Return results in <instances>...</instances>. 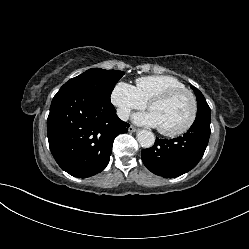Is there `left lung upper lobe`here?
Segmentation results:
<instances>
[{"mask_svg":"<svg viewBox=\"0 0 249 249\" xmlns=\"http://www.w3.org/2000/svg\"><path fill=\"white\" fill-rule=\"evenodd\" d=\"M191 88L195 92L197 102H198L197 116L196 117H210L211 111H210V108H209L203 94L195 87H191Z\"/></svg>","mask_w":249,"mask_h":249,"instance_id":"5c2ea615","label":"left lung upper lobe"}]
</instances>
